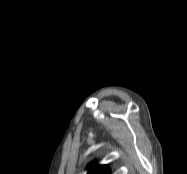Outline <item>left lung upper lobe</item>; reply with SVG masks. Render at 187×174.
<instances>
[{"label":"left lung upper lobe","instance_id":"left-lung-upper-lobe-1","mask_svg":"<svg viewBox=\"0 0 187 174\" xmlns=\"http://www.w3.org/2000/svg\"><path fill=\"white\" fill-rule=\"evenodd\" d=\"M87 174H110V169L106 165L93 164Z\"/></svg>","mask_w":187,"mask_h":174}]
</instances>
